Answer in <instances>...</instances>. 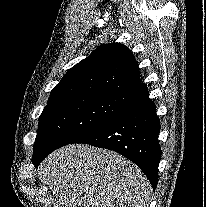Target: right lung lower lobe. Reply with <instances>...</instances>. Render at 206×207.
Wrapping results in <instances>:
<instances>
[{"instance_id": "98d812e1", "label": "right lung lower lobe", "mask_w": 206, "mask_h": 207, "mask_svg": "<svg viewBox=\"0 0 206 207\" xmlns=\"http://www.w3.org/2000/svg\"><path fill=\"white\" fill-rule=\"evenodd\" d=\"M126 96L128 104L121 113L76 143L110 149L123 155L141 168L155 189L161 159L158 141L160 122L156 106L150 100L144 83L137 85ZM52 151L34 156L32 163L38 166Z\"/></svg>"}]
</instances>
